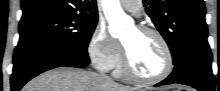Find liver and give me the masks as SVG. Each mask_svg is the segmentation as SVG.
Returning <instances> with one entry per match:
<instances>
[{
	"instance_id": "1",
	"label": "liver",
	"mask_w": 220,
	"mask_h": 91,
	"mask_svg": "<svg viewBox=\"0 0 220 91\" xmlns=\"http://www.w3.org/2000/svg\"><path fill=\"white\" fill-rule=\"evenodd\" d=\"M22 91H135L107 81L98 74L72 67H59L29 81Z\"/></svg>"
}]
</instances>
